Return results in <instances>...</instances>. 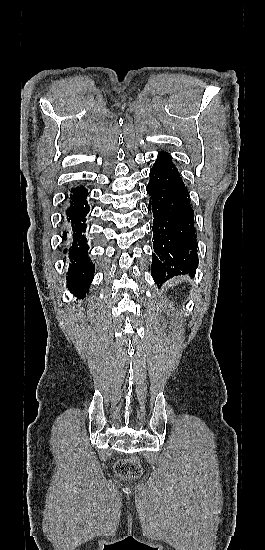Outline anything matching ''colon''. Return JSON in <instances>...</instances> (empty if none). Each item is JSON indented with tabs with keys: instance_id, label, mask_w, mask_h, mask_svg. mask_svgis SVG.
<instances>
[{
	"instance_id": "colon-1",
	"label": "colon",
	"mask_w": 265,
	"mask_h": 550,
	"mask_svg": "<svg viewBox=\"0 0 265 550\" xmlns=\"http://www.w3.org/2000/svg\"><path fill=\"white\" fill-rule=\"evenodd\" d=\"M116 474L124 479L136 478L142 473V466L135 458L121 459L115 464Z\"/></svg>"
}]
</instances>
